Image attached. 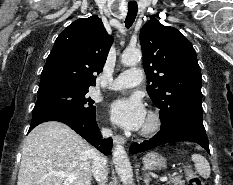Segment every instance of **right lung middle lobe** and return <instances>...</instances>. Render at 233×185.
I'll return each mask as SVG.
<instances>
[{"label":"right lung middle lobe","mask_w":233,"mask_h":185,"mask_svg":"<svg viewBox=\"0 0 233 185\" xmlns=\"http://www.w3.org/2000/svg\"><path fill=\"white\" fill-rule=\"evenodd\" d=\"M88 89L53 87L38 90L37 102L33 110L55 109L82 114L87 117L96 115L94 101L87 97Z\"/></svg>","instance_id":"obj_1"}]
</instances>
